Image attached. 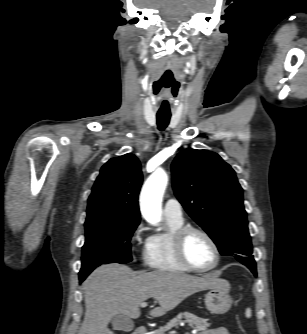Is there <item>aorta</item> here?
<instances>
[{"label": "aorta", "mask_w": 307, "mask_h": 334, "mask_svg": "<svg viewBox=\"0 0 307 334\" xmlns=\"http://www.w3.org/2000/svg\"><path fill=\"white\" fill-rule=\"evenodd\" d=\"M168 176L163 170H156L143 185L140 194L142 216L152 225H158L162 218V198L167 187Z\"/></svg>", "instance_id": "1"}]
</instances>
